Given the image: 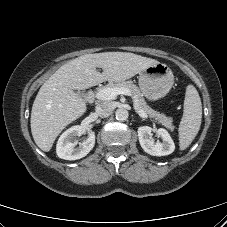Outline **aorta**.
Listing matches in <instances>:
<instances>
[{
  "label": "aorta",
  "instance_id": "1",
  "mask_svg": "<svg viewBox=\"0 0 227 227\" xmlns=\"http://www.w3.org/2000/svg\"><path fill=\"white\" fill-rule=\"evenodd\" d=\"M116 119L118 121H126L128 119L129 113L126 109H117L115 112Z\"/></svg>",
  "mask_w": 227,
  "mask_h": 227
}]
</instances>
